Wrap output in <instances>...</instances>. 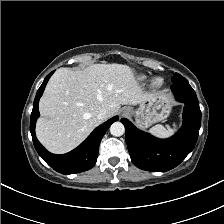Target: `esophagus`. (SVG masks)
I'll list each match as a JSON object with an SVG mask.
<instances>
[{
	"mask_svg": "<svg viewBox=\"0 0 224 224\" xmlns=\"http://www.w3.org/2000/svg\"><path fill=\"white\" fill-rule=\"evenodd\" d=\"M130 112V108L129 107H123L122 109H121V114L122 115H126V114H128Z\"/></svg>",
	"mask_w": 224,
	"mask_h": 224,
	"instance_id": "obj_1",
	"label": "esophagus"
}]
</instances>
